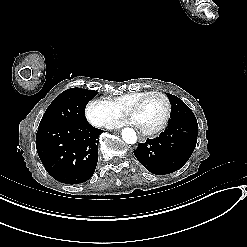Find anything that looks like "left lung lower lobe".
<instances>
[{"mask_svg": "<svg viewBox=\"0 0 247 247\" xmlns=\"http://www.w3.org/2000/svg\"><path fill=\"white\" fill-rule=\"evenodd\" d=\"M197 133L196 118L177 119L169 122L159 137L140 143L134 154L149 172L170 174L190 158L196 146Z\"/></svg>", "mask_w": 247, "mask_h": 247, "instance_id": "obj_1", "label": "left lung lower lobe"}]
</instances>
